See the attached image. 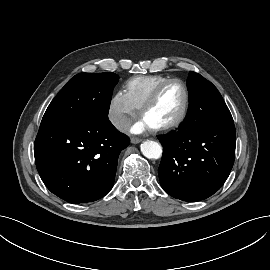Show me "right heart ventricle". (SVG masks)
<instances>
[{
    "instance_id": "1",
    "label": "right heart ventricle",
    "mask_w": 270,
    "mask_h": 270,
    "mask_svg": "<svg viewBox=\"0 0 270 270\" xmlns=\"http://www.w3.org/2000/svg\"><path fill=\"white\" fill-rule=\"evenodd\" d=\"M170 78L163 75L135 76L126 81L124 92L133 106L140 109L155 87Z\"/></svg>"
}]
</instances>
